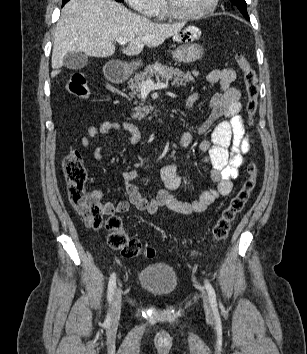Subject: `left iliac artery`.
Wrapping results in <instances>:
<instances>
[{
    "instance_id": "obj_1",
    "label": "left iliac artery",
    "mask_w": 307,
    "mask_h": 354,
    "mask_svg": "<svg viewBox=\"0 0 307 354\" xmlns=\"http://www.w3.org/2000/svg\"><path fill=\"white\" fill-rule=\"evenodd\" d=\"M205 287H206V290H207V293H208V296H209V300H210V303H211V307L214 311L217 310V303H216V293H215V290L214 288L212 287V285L209 283L208 280H205Z\"/></svg>"
}]
</instances>
